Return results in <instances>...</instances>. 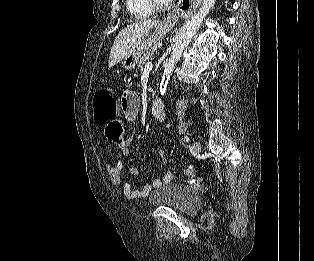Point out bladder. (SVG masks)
I'll return each instance as SVG.
<instances>
[{
    "label": "bladder",
    "instance_id": "obj_1",
    "mask_svg": "<svg viewBox=\"0 0 314 261\" xmlns=\"http://www.w3.org/2000/svg\"><path fill=\"white\" fill-rule=\"evenodd\" d=\"M153 206L174 209L185 215L194 214L201 206L200 194L182 183H167L154 189L149 195Z\"/></svg>",
    "mask_w": 314,
    "mask_h": 261
}]
</instances>
